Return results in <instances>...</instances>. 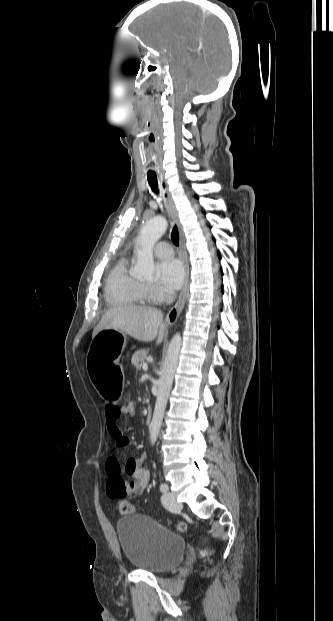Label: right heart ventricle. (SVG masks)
<instances>
[{
    "mask_svg": "<svg viewBox=\"0 0 333 621\" xmlns=\"http://www.w3.org/2000/svg\"><path fill=\"white\" fill-rule=\"evenodd\" d=\"M127 258L118 260L108 274L104 294L113 305H144L150 299L145 284L130 272Z\"/></svg>",
    "mask_w": 333,
    "mask_h": 621,
    "instance_id": "e07e8e85",
    "label": "right heart ventricle"
}]
</instances>
